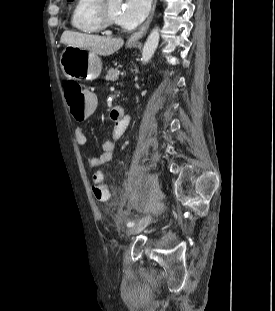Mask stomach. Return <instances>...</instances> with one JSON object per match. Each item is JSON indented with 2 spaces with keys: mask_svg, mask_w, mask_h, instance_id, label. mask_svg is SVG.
<instances>
[{
  "mask_svg": "<svg viewBox=\"0 0 275 311\" xmlns=\"http://www.w3.org/2000/svg\"><path fill=\"white\" fill-rule=\"evenodd\" d=\"M60 64L64 75L69 79L85 78L92 81L99 77L102 70L100 57L81 47L67 46L61 53Z\"/></svg>",
  "mask_w": 275,
  "mask_h": 311,
  "instance_id": "obj_1",
  "label": "stomach"
}]
</instances>
